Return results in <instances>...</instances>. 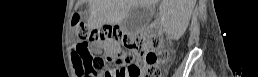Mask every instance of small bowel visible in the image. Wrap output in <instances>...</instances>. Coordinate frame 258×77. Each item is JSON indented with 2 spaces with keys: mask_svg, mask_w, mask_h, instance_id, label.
<instances>
[{
  "mask_svg": "<svg viewBox=\"0 0 258 77\" xmlns=\"http://www.w3.org/2000/svg\"><path fill=\"white\" fill-rule=\"evenodd\" d=\"M121 55V51L115 46L110 47V57L113 61H118Z\"/></svg>",
  "mask_w": 258,
  "mask_h": 77,
  "instance_id": "c3829d8e",
  "label": "small bowel"
}]
</instances>
